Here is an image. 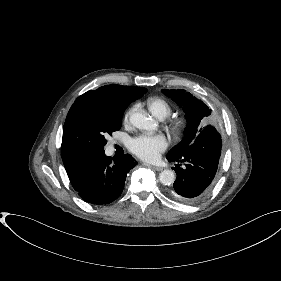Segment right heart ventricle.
Masks as SVG:
<instances>
[{
  "label": "right heart ventricle",
  "instance_id": "right-heart-ventricle-1",
  "mask_svg": "<svg viewBox=\"0 0 281 281\" xmlns=\"http://www.w3.org/2000/svg\"><path fill=\"white\" fill-rule=\"evenodd\" d=\"M147 107L150 112L159 119H164L172 112L171 105L164 99L159 97L149 98Z\"/></svg>",
  "mask_w": 281,
  "mask_h": 281
}]
</instances>
